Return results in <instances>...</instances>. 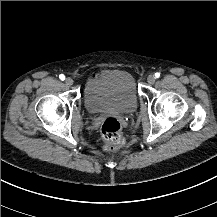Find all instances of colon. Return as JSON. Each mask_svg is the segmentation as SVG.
<instances>
[{
  "instance_id": "colon-1",
  "label": "colon",
  "mask_w": 217,
  "mask_h": 217,
  "mask_svg": "<svg viewBox=\"0 0 217 217\" xmlns=\"http://www.w3.org/2000/svg\"><path fill=\"white\" fill-rule=\"evenodd\" d=\"M101 134L103 139L108 143L106 150L109 152L116 151L123 144V137L121 135V123L114 117H107L101 127Z\"/></svg>"
}]
</instances>
